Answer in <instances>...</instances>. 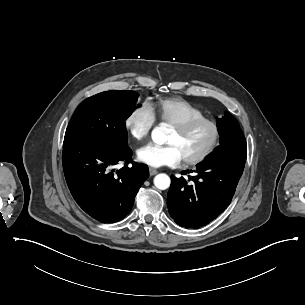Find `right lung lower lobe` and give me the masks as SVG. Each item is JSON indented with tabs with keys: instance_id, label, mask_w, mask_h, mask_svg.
<instances>
[{
	"instance_id": "obj_1",
	"label": "right lung lower lobe",
	"mask_w": 305,
	"mask_h": 305,
	"mask_svg": "<svg viewBox=\"0 0 305 305\" xmlns=\"http://www.w3.org/2000/svg\"><path fill=\"white\" fill-rule=\"evenodd\" d=\"M132 150H104L76 145L63 149V170L78 205L103 223L122 220L131 210L135 196L149 176L148 167L131 163ZM126 163L119 171L110 169Z\"/></svg>"
}]
</instances>
